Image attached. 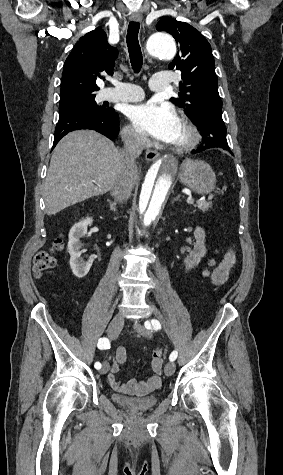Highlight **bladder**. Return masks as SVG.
Listing matches in <instances>:
<instances>
[{
	"label": "bladder",
	"instance_id": "obj_1",
	"mask_svg": "<svg viewBox=\"0 0 283 475\" xmlns=\"http://www.w3.org/2000/svg\"><path fill=\"white\" fill-rule=\"evenodd\" d=\"M159 397L158 394L144 397H127L119 393H114L112 400L127 409L147 412L150 408L158 404Z\"/></svg>",
	"mask_w": 283,
	"mask_h": 475
}]
</instances>
